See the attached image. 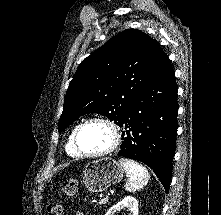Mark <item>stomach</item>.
I'll return each mask as SVG.
<instances>
[{"label": "stomach", "mask_w": 221, "mask_h": 215, "mask_svg": "<svg viewBox=\"0 0 221 215\" xmlns=\"http://www.w3.org/2000/svg\"><path fill=\"white\" fill-rule=\"evenodd\" d=\"M124 169L112 158L92 161L83 171V184L90 192H103L112 184L120 182Z\"/></svg>", "instance_id": "stomach-1"}]
</instances>
